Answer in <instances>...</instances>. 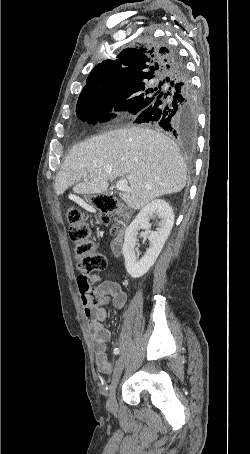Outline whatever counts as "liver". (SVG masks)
<instances>
[{"mask_svg":"<svg viewBox=\"0 0 250 454\" xmlns=\"http://www.w3.org/2000/svg\"><path fill=\"white\" fill-rule=\"evenodd\" d=\"M117 178L126 179L132 190L120 198L138 210L155 198L180 192L187 167L166 135L144 127L118 129L75 145L57 174L55 190L61 195L74 185L76 194H101Z\"/></svg>","mask_w":250,"mask_h":454,"instance_id":"6515ba94","label":"liver"}]
</instances>
